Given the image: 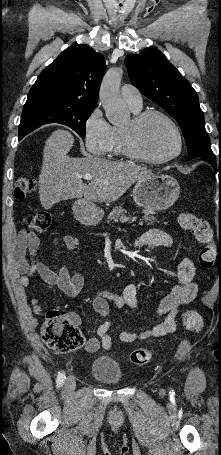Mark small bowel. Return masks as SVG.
I'll list each match as a JSON object with an SVG mask.
<instances>
[{"label": "small bowel", "mask_w": 221, "mask_h": 455, "mask_svg": "<svg viewBox=\"0 0 221 455\" xmlns=\"http://www.w3.org/2000/svg\"><path fill=\"white\" fill-rule=\"evenodd\" d=\"M50 243L65 248L73 254L79 250V240L69 235L63 237H52ZM40 245V238L34 232H22L16 249V267L21 273L20 284L23 287L29 285L30 277L37 274L41 279L51 286H56L69 296H76L83 288V277L78 271L71 272L67 267L62 266L54 271L36 259V253ZM136 246H161L172 247L174 240L168 233L149 229L143 232L135 240ZM195 265L188 257H183L177 268L178 283L172 290L163 297L154 314L157 323L143 331L133 333L123 331L120 333V340L124 343H135L151 338H160L172 333L176 326V319L180 307L191 303L197 296L198 285L194 281ZM108 300H111L117 309L129 307L138 309L137 285L129 283L125 286L122 294L109 291H98L93 298V308L102 317L109 314ZM30 303L35 313H42L38 297H32ZM72 321L78 325L80 320L77 316L71 315ZM111 322L106 321L97 329V337L89 338L85 343V350L88 353L96 352L100 346L106 350L114 348V342L109 334Z\"/></svg>", "instance_id": "c3829d8e"}]
</instances>
